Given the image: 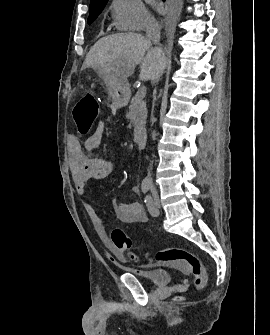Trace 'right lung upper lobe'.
I'll list each match as a JSON object with an SVG mask.
<instances>
[{"label": "right lung upper lobe", "instance_id": "obj_1", "mask_svg": "<svg viewBox=\"0 0 270 335\" xmlns=\"http://www.w3.org/2000/svg\"><path fill=\"white\" fill-rule=\"evenodd\" d=\"M108 0H91L90 5H97L101 3H107Z\"/></svg>", "mask_w": 270, "mask_h": 335}]
</instances>
